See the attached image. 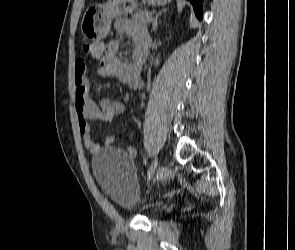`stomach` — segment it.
<instances>
[{
  "label": "stomach",
  "instance_id": "stomach-1",
  "mask_svg": "<svg viewBox=\"0 0 295 250\" xmlns=\"http://www.w3.org/2000/svg\"><path fill=\"white\" fill-rule=\"evenodd\" d=\"M147 2L161 6L170 0H147ZM136 7L135 0H108L106 3L91 5L84 13L81 31L90 40L103 39L109 33L114 18L132 13Z\"/></svg>",
  "mask_w": 295,
  "mask_h": 250
}]
</instances>
